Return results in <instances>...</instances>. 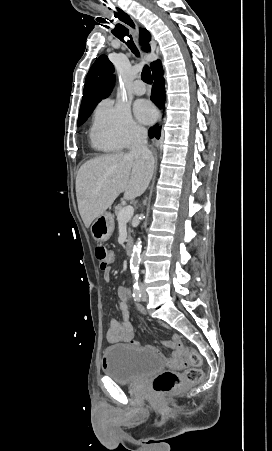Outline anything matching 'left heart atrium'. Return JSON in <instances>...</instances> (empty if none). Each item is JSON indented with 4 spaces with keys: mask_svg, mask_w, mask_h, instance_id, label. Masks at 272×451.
<instances>
[{
    "mask_svg": "<svg viewBox=\"0 0 272 451\" xmlns=\"http://www.w3.org/2000/svg\"><path fill=\"white\" fill-rule=\"evenodd\" d=\"M137 115L144 123H150L155 118L156 112L149 102L143 101L137 109Z\"/></svg>",
    "mask_w": 272,
    "mask_h": 451,
    "instance_id": "obj_1",
    "label": "left heart atrium"
}]
</instances>
